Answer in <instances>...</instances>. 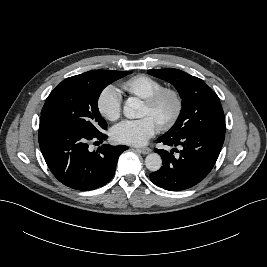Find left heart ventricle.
I'll use <instances>...</instances> for the list:
<instances>
[{
	"instance_id": "obj_1",
	"label": "left heart ventricle",
	"mask_w": 267,
	"mask_h": 267,
	"mask_svg": "<svg viewBox=\"0 0 267 267\" xmlns=\"http://www.w3.org/2000/svg\"><path fill=\"white\" fill-rule=\"evenodd\" d=\"M174 109V103L171 97H165L160 105L151 110L145 104L143 105L142 109V116H150L158 125L168 119Z\"/></svg>"
}]
</instances>
